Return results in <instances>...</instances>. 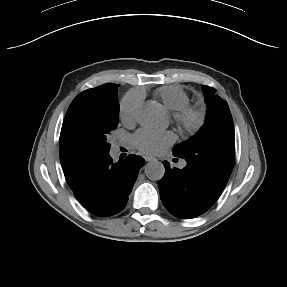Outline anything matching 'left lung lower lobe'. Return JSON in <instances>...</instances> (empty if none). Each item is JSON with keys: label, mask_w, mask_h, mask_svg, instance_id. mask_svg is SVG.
Instances as JSON below:
<instances>
[{"label": "left lung lower lobe", "mask_w": 287, "mask_h": 287, "mask_svg": "<svg viewBox=\"0 0 287 287\" xmlns=\"http://www.w3.org/2000/svg\"><path fill=\"white\" fill-rule=\"evenodd\" d=\"M165 175L158 187L161 200L173 215L190 219L207 211L219 197L224 187L209 181V175L200 173L187 164L183 169H171L163 161Z\"/></svg>", "instance_id": "obj_1"}]
</instances>
